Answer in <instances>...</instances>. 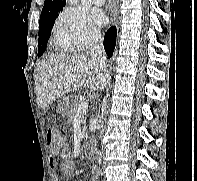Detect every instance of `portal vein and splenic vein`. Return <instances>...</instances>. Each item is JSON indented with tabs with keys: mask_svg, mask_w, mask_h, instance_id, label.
Segmentation results:
<instances>
[{
	"mask_svg": "<svg viewBox=\"0 0 197 181\" xmlns=\"http://www.w3.org/2000/svg\"><path fill=\"white\" fill-rule=\"evenodd\" d=\"M88 109V103L86 101L81 102L78 107L77 116H80L82 113L86 112Z\"/></svg>",
	"mask_w": 197,
	"mask_h": 181,
	"instance_id": "portal-vein-and-splenic-vein-1",
	"label": "portal vein and splenic vein"
}]
</instances>
